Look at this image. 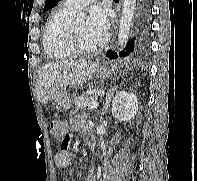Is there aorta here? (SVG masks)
Here are the masks:
<instances>
[{"label": "aorta", "instance_id": "762f6f07", "mask_svg": "<svg viewBox=\"0 0 197 181\" xmlns=\"http://www.w3.org/2000/svg\"><path fill=\"white\" fill-rule=\"evenodd\" d=\"M136 1L137 0H123L118 34L119 51L123 49L128 41L136 8ZM82 18L83 15L78 16V20H82Z\"/></svg>", "mask_w": 197, "mask_h": 181}]
</instances>
